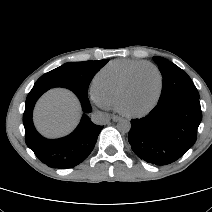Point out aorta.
Masks as SVG:
<instances>
[{
    "mask_svg": "<svg viewBox=\"0 0 212 212\" xmlns=\"http://www.w3.org/2000/svg\"><path fill=\"white\" fill-rule=\"evenodd\" d=\"M117 129L121 133H127L131 129V123L128 120H121L117 123Z\"/></svg>",
    "mask_w": 212,
    "mask_h": 212,
    "instance_id": "1",
    "label": "aorta"
}]
</instances>
